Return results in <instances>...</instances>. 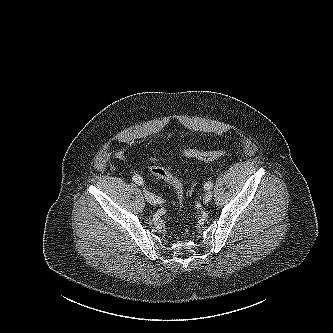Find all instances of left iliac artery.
Returning <instances> with one entry per match:
<instances>
[{
	"instance_id": "44dca946",
	"label": "left iliac artery",
	"mask_w": 333,
	"mask_h": 333,
	"mask_svg": "<svg viewBox=\"0 0 333 333\" xmlns=\"http://www.w3.org/2000/svg\"><path fill=\"white\" fill-rule=\"evenodd\" d=\"M212 187H213V184H212L211 182H207V183L204 185V188H205L206 190H210V189H212Z\"/></svg>"
}]
</instances>
